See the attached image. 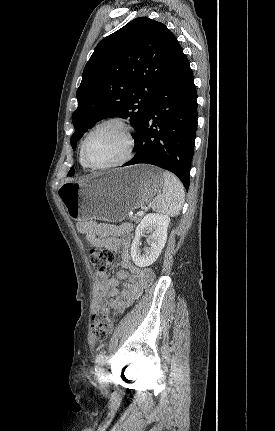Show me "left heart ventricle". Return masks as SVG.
<instances>
[{
	"mask_svg": "<svg viewBox=\"0 0 275 431\" xmlns=\"http://www.w3.org/2000/svg\"><path fill=\"white\" fill-rule=\"evenodd\" d=\"M127 149L125 132L117 125L104 126L93 133L86 144V158L93 165L121 159Z\"/></svg>",
	"mask_w": 275,
	"mask_h": 431,
	"instance_id": "left-heart-ventricle-1",
	"label": "left heart ventricle"
}]
</instances>
